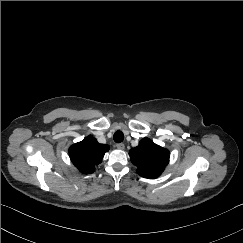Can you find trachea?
Returning a JSON list of instances; mask_svg holds the SVG:
<instances>
[{"label":"trachea","instance_id":"3493384b","mask_svg":"<svg viewBox=\"0 0 243 243\" xmlns=\"http://www.w3.org/2000/svg\"><path fill=\"white\" fill-rule=\"evenodd\" d=\"M113 139L116 143H120L124 140V134L121 131H116L114 133Z\"/></svg>","mask_w":243,"mask_h":243}]
</instances>
